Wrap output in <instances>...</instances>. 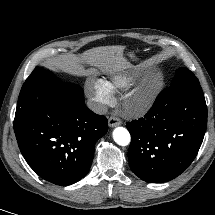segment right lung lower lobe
Here are the masks:
<instances>
[{
  "mask_svg": "<svg viewBox=\"0 0 215 215\" xmlns=\"http://www.w3.org/2000/svg\"><path fill=\"white\" fill-rule=\"evenodd\" d=\"M107 130L106 117L85 106L82 88L67 83L49 93L15 134L29 166L43 179L64 186L89 172L94 145Z\"/></svg>",
  "mask_w": 215,
  "mask_h": 215,
  "instance_id": "98d812e1",
  "label": "right lung lower lobe"
}]
</instances>
